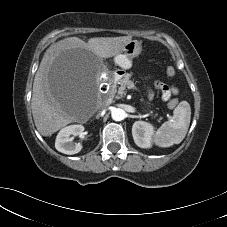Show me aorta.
Segmentation results:
<instances>
[{
  "label": "aorta",
  "instance_id": "1",
  "mask_svg": "<svg viewBox=\"0 0 227 227\" xmlns=\"http://www.w3.org/2000/svg\"><path fill=\"white\" fill-rule=\"evenodd\" d=\"M112 119L115 121H121L125 118V111L120 108H115L111 113Z\"/></svg>",
  "mask_w": 227,
  "mask_h": 227
}]
</instances>
